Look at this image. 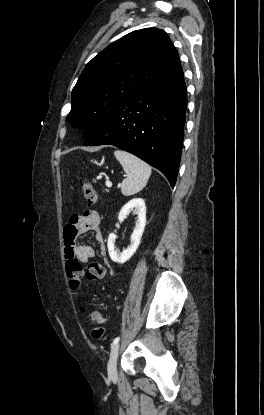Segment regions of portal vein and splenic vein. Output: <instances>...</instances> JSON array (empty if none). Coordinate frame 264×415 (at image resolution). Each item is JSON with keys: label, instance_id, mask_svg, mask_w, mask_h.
I'll use <instances>...</instances> for the list:
<instances>
[{"label": "portal vein and splenic vein", "instance_id": "1", "mask_svg": "<svg viewBox=\"0 0 264 415\" xmlns=\"http://www.w3.org/2000/svg\"><path fill=\"white\" fill-rule=\"evenodd\" d=\"M106 186L109 187V188L112 187V182L111 181H106Z\"/></svg>", "mask_w": 264, "mask_h": 415}]
</instances>
